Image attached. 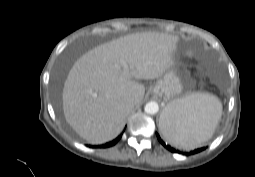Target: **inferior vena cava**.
Instances as JSON below:
<instances>
[{"mask_svg": "<svg viewBox=\"0 0 255 177\" xmlns=\"http://www.w3.org/2000/svg\"><path fill=\"white\" fill-rule=\"evenodd\" d=\"M127 104L129 107H133L134 106V99L130 98L127 100Z\"/></svg>", "mask_w": 255, "mask_h": 177, "instance_id": "602c4592", "label": "inferior vena cava"}]
</instances>
